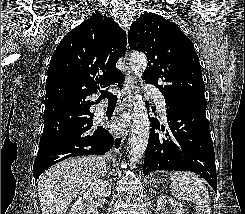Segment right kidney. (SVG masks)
<instances>
[{
  "label": "right kidney",
  "mask_w": 245,
  "mask_h": 214,
  "mask_svg": "<svg viewBox=\"0 0 245 214\" xmlns=\"http://www.w3.org/2000/svg\"><path fill=\"white\" fill-rule=\"evenodd\" d=\"M111 194V186L108 181L95 180L90 189L72 205L68 214H89L93 212V197H108Z\"/></svg>",
  "instance_id": "right-kidney-1"
}]
</instances>
